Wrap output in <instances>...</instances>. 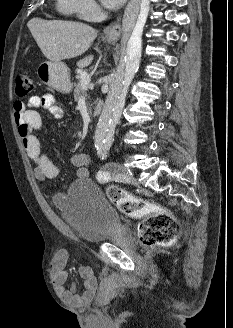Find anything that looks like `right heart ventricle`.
<instances>
[{
    "mask_svg": "<svg viewBox=\"0 0 233 328\" xmlns=\"http://www.w3.org/2000/svg\"><path fill=\"white\" fill-rule=\"evenodd\" d=\"M59 10L65 15L75 13V4L73 0H57Z\"/></svg>",
    "mask_w": 233,
    "mask_h": 328,
    "instance_id": "right-heart-ventricle-1",
    "label": "right heart ventricle"
}]
</instances>
